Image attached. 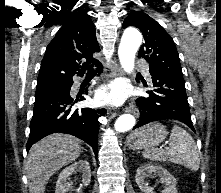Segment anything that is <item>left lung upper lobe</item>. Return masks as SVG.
Segmentation results:
<instances>
[{"instance_id":"obj_1","label":"left lung upper lobe","mask_w":221,"mask_h":193,"mask_svg":"<svg viewBox=\"0 0 221 193\" xmlns=\"http://www.w3.org/2000/svg\"><path fill=\"white\" fill-rule=\"evenodd\" d=\"M128 26L141 30L145 43L140 47L138 57L144 58L151 69L182 75L174 41L157 21L144 12L132 11L123 23V28Z\"/></svg>"}]
</instances>
